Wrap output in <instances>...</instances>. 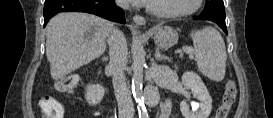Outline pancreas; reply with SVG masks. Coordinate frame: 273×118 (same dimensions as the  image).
Instances as JSON below:
<instances>
[{"label":"pancreas","instance_id":"obj_1","mask_svg":"<svg viewBox=\"0 0 273 118\" xmlns=\"http://www.w3.org/2000/svg\"><path fill=\"white\" fill-rule=\"evenodd\" d=\"M190 49H191V48H190ZM189 54L192 55V49H191V51L189 52Z\"/></svg>","mask_w":273,"mask_h":118}]
</instances>
